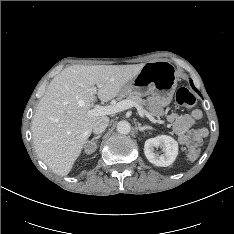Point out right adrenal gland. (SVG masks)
Listing matches in <instances>:
<instances>
[{
	"mask_svg": "<svg viewBox=\"0 0 234 234\" xmlns=\"http://www.w3.org/2000/svg\"><path fill=\"white\" fill-rule=\"evenodd\" d=\"M100 137H101V134H99V135L93 137V138L91 139V141H87L86 144H96V142L98 141V139H99ZM95 141H96V142H95Z\"/></svg>",
	"mask_w": 234,
	"mask_h": 234,
	"instance_id": "obj_1",
	"label": "right adrenal gland"
}]
</instances>
